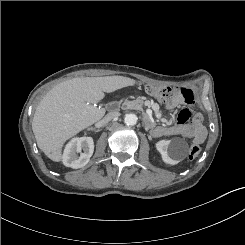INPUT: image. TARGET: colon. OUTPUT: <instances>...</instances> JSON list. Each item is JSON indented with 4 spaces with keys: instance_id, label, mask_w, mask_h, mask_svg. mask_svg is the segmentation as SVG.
I'll use <instances>...</instances> for the list:
<instances>
[{
    "instance_id": "colon-1",
    "label": "colon",
    "mask_w": 245,
    "mask_h": 245,
    "mask_svg": "<svg viewBox=\"0 0 245 245\" xmlns=\"http://www.w3.org/2000/svg\"><path fill=\"white\" fill-rule=\"evenodd\" d=\"M146 92L155 97L156 99L160 101H166L172 94V90L169 87H155V86H146L145 88ZM201 152V147L197 144L191 145L189 148L188 157L190 160L195 159L199 156Z\"/></svg>"
}]
</instances>
